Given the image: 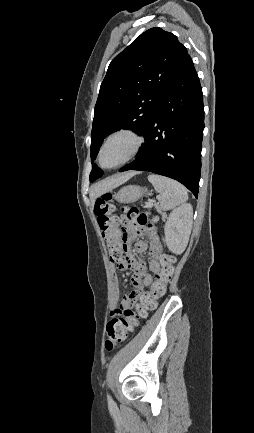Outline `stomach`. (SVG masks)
<instances>
[{"instance_id":"stomach-1","label":"stomach","mask_w":254,"mask_h":433,"mask_svg":"<svg viewBox=\"0 0 254 433\" xmlns=\"http://www.w3.org/2000/svg\"><path fill=\"white\" fill-rule=\"evenodd\" d=\"M147 193L146 188H142L137 185H128L121 188L115 195L114 198L120 203H132L137 201L141 196Z\"/></svg>"}]
</instances>
